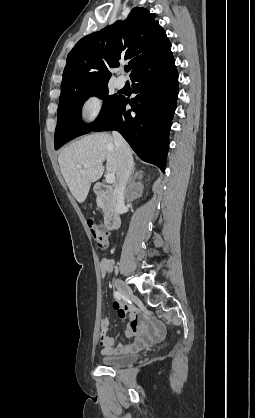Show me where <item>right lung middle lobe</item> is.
<instances>
[{
	"label": "right lung middle lobe",
	"mask_w": 255,
	"mask_h": 418,
	"mask_svg": "<svg viewBox=\"0 0 255 418\" xmlns=\"http://www.w3.org/2000/svg\"><path fill=\"white\" fill-rule=\"evenodd\" d=\"M107 84L108 82L95 84L60 94L57 126L54 136V147L56 150L69 140L91 132L94 127L108 118L120 96L116 94L109 95ZM91 96H98L104 99V106L98 118L93 123L87 125L81 121L82 106Z\"/></svg>",
	"instance_id": "obj_1"
}]
</instances>
